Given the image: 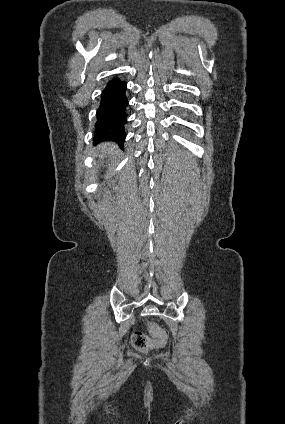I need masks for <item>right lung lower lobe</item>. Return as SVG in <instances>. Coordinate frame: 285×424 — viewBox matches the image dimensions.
<instances>
[{
  "instance_id": "obj_1",
  "label": "right lung lower lobe",
  "mask_w": 285,
  "mask_h": 424,
  "mask_svg": "<svg viewBox=\"0 0 285 424\" xmlns=\"http://www.w3.org/2000/svg\"><path fill=\"white\" fill-rule=\"evenodd\" d=\"M127 84L117 77L109 80L101 94L100 106L97 110L94 143L114 141L123 147L126 137L124 123L125 108L128 105L125 91Z\"/></svg>"
}]
</instances>
